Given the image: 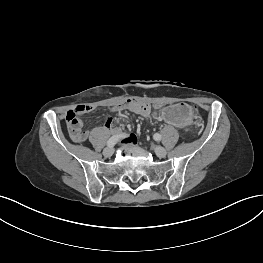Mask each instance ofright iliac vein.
Here are the masks:
<instances>
[{
	"label": "right iliac vein",
	"instance_id": "63e3f726",
	"mask_svg": "<svg viewBox=\"0 0 263 263\" xmlns=\"http://www.w3.org/2000/svg\"><path fill=\"white\" fill-rule=\"evenodd\" d=\"M113 153H114V148L113 147H107L103 151V155L105 157H111L113 155Z\"/></svg>",
	"mask_w": 263,
	"mask_h": 263
}]
</instances>
